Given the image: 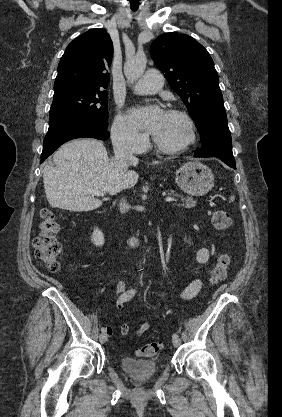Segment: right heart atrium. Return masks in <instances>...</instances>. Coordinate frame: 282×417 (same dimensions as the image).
<instances>
[{"label": "right heart atrium", "mask_w": 282, "mask_h": 417, "mask_svg": "<svg viewBox=\"0 0 282 417\" xmlns=\"http://www.w3.org/2000/svg\"><path fill=\"white\" fill-rule=\"evenodd\" d=\"M111 137L113 145L118 151L130 154L142 152L147 143V136L138 132L121 114L113 122Z\"/></svg>", "instance_id": "obj_1"}]
</instances>
